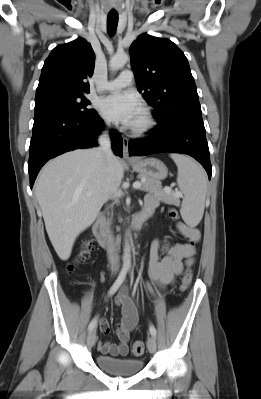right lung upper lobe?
<instances>
[{"label": "right lung upper lobe", "mask_w": 261, "mask_h": 399, "mask_svg": "<svg viewBox=\"0 0 261 399\" xmlns=\"http://www.w3.org/2000/svg\"><path fill=\"white\" fill-rule=\"evenodd\" d=\"M95 53L85 39L78 38L56 46L45 60L36 99L55 95L89 93Z\"/></svg>", "instance_id": "1"}]
</instances>
